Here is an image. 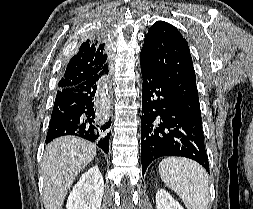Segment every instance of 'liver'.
<instances>
[{"label":"liver","instance_id":"liver-1","mask_svg":"<svg viewBox=\"0 0 253 209\" xmlns=\"http://www.w3.org/2000/svg\"><path fill=\"white\" fill-rule=\"evenodd\" d=\"M96 156V146L75 136H63L49 143L41 168L45 209H62L77 175Z\"/></svg>","mask_w":253,"mask_h":209}]
</instances>
